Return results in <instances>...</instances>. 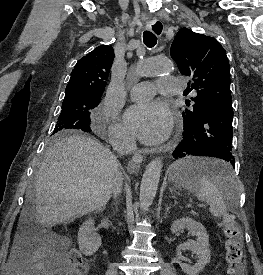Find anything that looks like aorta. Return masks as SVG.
<instances>
[{
	"label": "aorta",
	"mask_w": 263,
	"mask_h": 275,
	"mask_svg": "<svg viewBox=\"0 0 263 275\" xmlns=\"http://www.w3.org/2000/svg\"><path fill=\"white\" fill-rule=\"evenodd\" d=\"M172 71V63L167 59L151 58L142 61L137 67V74L149 76L154 74L169 73ZM163 168L161 158H155L146 167L140 186V207L146 210L153 202L158 189V184Z\"/></svg>",
	"instance_id": "aorta-1"
}]
</instances>
